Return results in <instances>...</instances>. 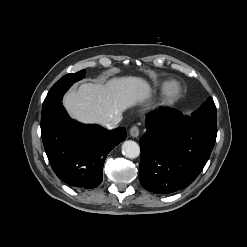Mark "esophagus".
<instances>
[{"label": "esophagus", "mask_w": 247, "mask_h": 247, "mask_svg": "<svg viewBox=\"0 0 247 247\" xmlns=\"http://www.w3.org/2000/svg\"><path fill=\"white\" fill-rule=\"evenodd\" d=\"M130 136L133 137V138H137L139 136V129L137 126H133L131 129H130Z\"/></svg>", "instance_id": "obj_1"}]
</instances>
